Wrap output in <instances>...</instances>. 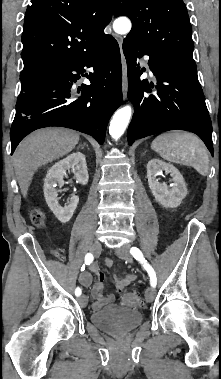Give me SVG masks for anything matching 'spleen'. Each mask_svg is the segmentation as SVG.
<instances>
[{"instance_id": "obj_1", "label": "spleen", "mask_w": 221, "mask_h": 379, "mask_svg": "<svg viewBox=\"0 0 221 379\" xmlns=\"http://www.w3.org/2000/svg\"><path fill=\"white\" fill-rule=\"evenodd\" d=\"M151 147L165 160L193 167L200 175L209 172V155L202 140L197 136L172 131L157 136Z\"/></svg>"}]
</instances>
